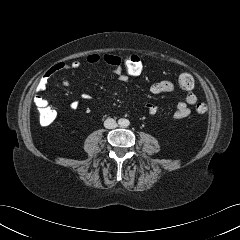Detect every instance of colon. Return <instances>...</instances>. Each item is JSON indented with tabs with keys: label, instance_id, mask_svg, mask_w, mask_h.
<instances>
[{
	"label": "colon",
	"instance_id": "obj_1",
	"mask_svg": "<svg viewBox=\"0 0 240 240\" xmlns=\"http://www.w3.org/2000/svg\"><path fill=\"white\" fill-rule=\"evenodd\" d=\"M113 66L119 67L122 72L129 76H139L143 73L144 64L142 59L137 55H131L124 58H110ZM178 86L182 90H192L195 86V79L190 73H182L178 78ZM195 110L199 114L206 113L208 110V106L205 103H198L195 107ZM38 115L39 122L43 126H48L54 122L56 119V111L49 107L48 105H40L38 106Z\"/></svg>",
	"mask_w": 240,
	"mask_h": 240
}]
</instances>
